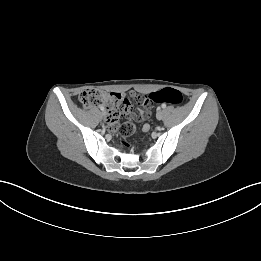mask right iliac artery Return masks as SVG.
Segmentation results:
<instances>
[{
    "label": "right iliac artery",
    "mask_w": 261,
    "mask_h": 261,
    "mask_svg": "<svg viewBox=\"0 0 261 261\" xmlns=\"http://www.w3.org/2000/svg\"><path fill=\"white\" fill-rule=\"evenodd\" d=\"M100 109H101L102 111H104V107H103V106H100Z\"/></svg>",
    "instance_id": "82829eb1"
}]
</instances>
